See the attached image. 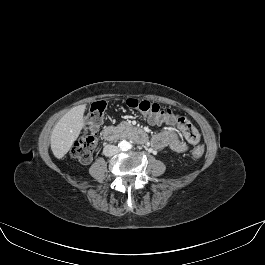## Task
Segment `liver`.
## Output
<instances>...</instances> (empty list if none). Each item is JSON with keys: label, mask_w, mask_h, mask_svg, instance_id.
I'll return each instance as SVG.
<instances>
[{"label": "liver", "mask_w": 265, "mask_h": 265, "mask_svg": "<svg viewBox=\"0 0 265 265\" xmlns=\"http://www.w3.org/2000/svg\"><path fill=\"white\" fill-rule=\"evenodd\" d=\"M84 105L68 111L55 125L50 136L51 150L58 159L64 157L83 128Z\"/></svg>", "instance_id": "liver-1"}]
</instances>
